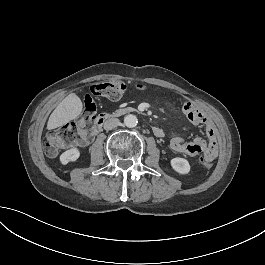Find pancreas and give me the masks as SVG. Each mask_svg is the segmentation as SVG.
<instances>
[{
  "label": "pancreas",
  "instance_id": "pancreas-1",
  "mask_svg": "<svg viewBox=\"0 0 265 265\" xmlns=\"http://www.w3.org/2000/svg\"><path fill=\"white\" fill-rule=\"evenodd\" d=\"M125 110L127 112L134 111V109L130 107L126 108ZM118 115H120V110H117L115 113L112 114V116H118Z\"/></svg>",
  "mask_w": 265,
  "mask_h": 265
}]
</instances>
